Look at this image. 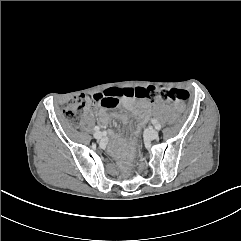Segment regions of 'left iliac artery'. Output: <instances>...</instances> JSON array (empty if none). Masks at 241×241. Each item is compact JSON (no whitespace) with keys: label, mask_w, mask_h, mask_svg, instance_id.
Wrapping results in <instances>:
<instances>
[{"label":"left iliac artery","mask_w":241,"mask_h":241,"mask_svg":"<svg viewBox=\"0 0 241 241\" xmlns=\"http://www.w3.org/2000/svg\"><path fill=\"white\" fill-rule=\"evenodd\" d=\"M155 129L160 130L161 129V125L160 124H155Z\"/></svg>","instance_id":"left-iliac-artery-1"}]
</instances>
